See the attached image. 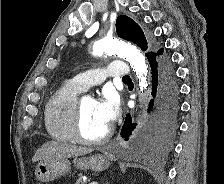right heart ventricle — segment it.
Masks as SVG:
<instances>
[{
  "instance_id": "e07e8e85",
  "label": "right heart ventricle",
  "mask_w": 224,
  "mask_h": 184,
  "mask_svg": "<svg viewBox=\"0 0 224 184\" xmlns=\"http://www.w3.org/2000/svg\"><path fill=\"white\" fill-rule=\"evenodd\" d=\"M80 91L72 82H67L59 87L46 103L45 127L52 139L60 142L75 141L72 119Z\"/></svg>"
}]
</instances>
